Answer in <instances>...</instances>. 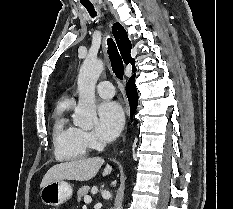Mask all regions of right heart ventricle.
Listing matches in <instances>:
<instances>
[{
    "mask_svg": "<svg viewBox=\"0 0 233 209\" xmlns=\"http://www.w3.org/2000/svg\"><path fill=\"white\" fill-rule=\"evenodd\" d=\"M73 99L64 96L57 102L53 112L54 153L60 161H74L87 156L89 148L82 142L79 129L69 122L67 113Z\"/></svg>",
    "mask_w": 233,
    "mask_h": 209,
    "instance_id": "right-heart-ventricle-1",
    "label": "right heart ventricle"
}]
</instances>
